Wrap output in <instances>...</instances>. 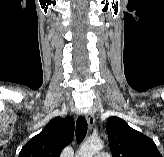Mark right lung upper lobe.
I'll list each match as a JSON object with an SVG mask.
<instances>
[{
  "label": "right lung upper lobe",
  "mask_w": 164,
  "mask_h": 157,
  "mask_svg": "<svg viewBox=\"0 0 164 157\" xmlns=\"http://www.w3.org/2000/svg\"><path fill=\"white\" fill-rule=\"evenodd\" d=\"M73 135V118L56 117L21 149L18 157H60L61 151L72 141Z\"/></svg>",
  "instance_id": "right-lung-upper-lobe-1"
}]
</instances>
